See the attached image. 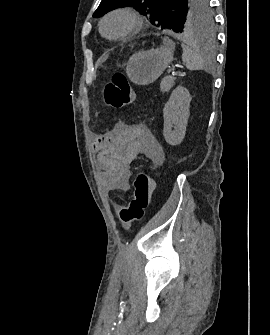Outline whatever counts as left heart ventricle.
<instances>
[{
    "label": "left heart ventricle",
    "instance_id": "obj_1",
    "mask_svg": "<svg viewBox=\"0 0 270 335\" xmlns=\"http://www.w3.org/2000/svg\"><path fill=\"white\" fill-rule=\"evenodd\" d=\"M132 26L129 19L123 16H114L105 24V33L110 37H117L126 33Z\"/></svg>",
    "mask_w": 270,
    "mask_h": 335
}]
</instances>
